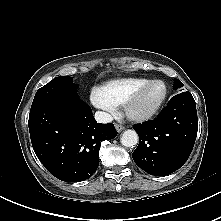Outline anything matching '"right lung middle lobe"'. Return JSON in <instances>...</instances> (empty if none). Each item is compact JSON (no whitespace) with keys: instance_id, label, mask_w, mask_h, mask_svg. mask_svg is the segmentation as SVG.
<instances>
[{"instance_id":"right-lung-middle-lobe-1","label":"right lung middle lobe","mask_w":221,"mask_h":221,"mask_svg":"<svg viewBox=\"0 0 221 221\" xmlns=\"http://www.w3.org/2000/svg\"><path fill=\"white\" fill-rule=\"evenodd\" d=\"M76 89L77 85L73 83L72 77H55L36 92L32 105L53 96L73 94Z\"/></svg>"}]
</instances>
